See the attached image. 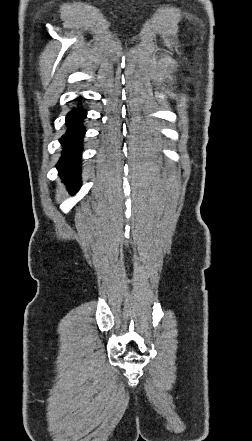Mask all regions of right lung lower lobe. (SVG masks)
<instances>
[{
    "instance_id": "obj_1",
    "label": "right lung lower lobe",
    "mask_w": 252,
    "mask_h": 441,
    "mask_svg": "<svg viewBox=\"0 0 252 441\" xmlns=\"http://www.w3.org/2000/svg\"><path fill=\"white\" fill-rule=\"evenodd\" d=\"M86 115V110L81 106L70 111L66 116L67 131L60 139L63 151L57 168L61 179L65 184L70 185L74 191L79 190L81 186L82 139L86 132L82 122Z\"/></svg>"
}]
</instances>
